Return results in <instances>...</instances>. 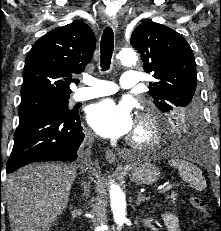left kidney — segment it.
<instances>
[{
  "label": "left kidney",
  "mask_w": 221,
  "mask_h": 231,
  "mask_svg": "<svg viewBox=\"0 0 221 231\" xmlns=\"http://www.w3.org/2000/svg\"><path fill=\"white\" fill-rule=\"evenodd\" d=\"M162 218L168 231H180L179 219L176 215L166 212L162 215Z\"/></svg>",
  "instance_id": "left-kidney-1"
}]
</instances>
